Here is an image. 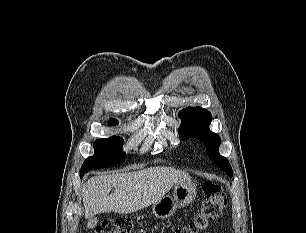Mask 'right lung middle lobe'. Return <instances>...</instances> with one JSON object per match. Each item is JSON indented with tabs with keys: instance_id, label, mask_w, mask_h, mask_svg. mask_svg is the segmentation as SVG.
<instances>
[{
	"instance_id": "right-lung-middle-lobe-1",
	"label": "right lung middle lobe",
	"mask_w": 306,
	"mask_h": 233,
	"mask_svg": "<svg viewBox=\"0 0 306 233\" xmlns=\"http://www.w3.org/2000/svg\"><path fill=\"white\" fill-rule=\"evenodd\" d=\"M111 125L118 122L110 119ZM124 140L118 136H112L108 139H97L93 146L95 150L94 156L88 157L83 163L80 171V177L91 169L112 167L125 160V153L122 152Z\"/></svg>"
}]
</instances>
